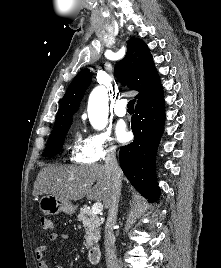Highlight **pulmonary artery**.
<instances>
[{
    "mask_svg": "<svg viewBox=\"0 0 221 268\" xmlns=\"http://www.w3.org/2000/svg\"><path fill=\"white\" fill-rule=\"evenodd\" d=\"M126 104H127V101L124 99H121V100L116 102V104L114 106V112L117 116L123 117L126 115V113H127Z\"/></svg>",
    "mask_w": 221,
    "mask_h": 268,
    "instance_id": "obj_1",
    "label": "pulmonary artery"
}]
</instances>
